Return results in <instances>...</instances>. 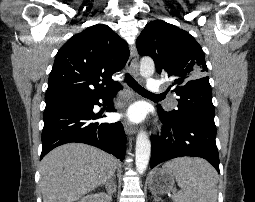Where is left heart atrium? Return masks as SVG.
Masks as SVG:
<instances>
[{"mask_svg":"<svg viewBox=\"0 0 255 202\" xmlns=\"http://www.w3.org/2000/svg\"><path fill=\"white\" fill-rule=\"evenodd\" d=\"M127 116L133 120V121H140L144 118L145 116V108L144 106L137 104L132 106L128 111H127Z\"/></svg>","mask_w":255,"mask_h":202,"instance_id":"39dd6f15","label":"left heart atrium"}]
</instances>
